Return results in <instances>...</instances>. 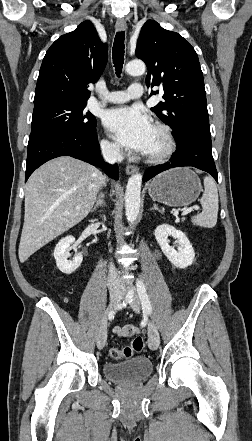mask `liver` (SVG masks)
<instances>
[{"label": "liver", "mask_w": 252, "mask_h": 441, "mask_svg": "<svg viewBox=\"0 0 252 441\" xmlns=\"http://www.w3.org/2000/svg\"><path fill=\"white\" fill-rule=\"evenodd\" d=\"M104 175L94 166L61 156L30 176L25 187V216L19 260L32 254L81 222L91 211Z\"/></svg>", "instance_id": "6515ba94"}]
</instances>
